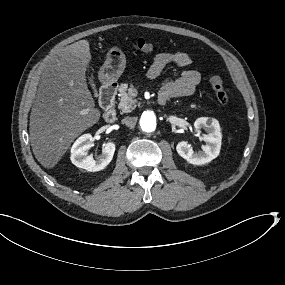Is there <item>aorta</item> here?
<instances>
[{
	"instance_id": "762f6f07",
	"label": "aorta",
	"mask_w": 285,
	"mask_h": 285,
	"mask_svg": "<svg viewBox=\"0 0 285 285\" xmlns=\"http://www.w3.org/2000/svg\"><path fill=\"white\" fill-rule=\"evenodd\" d=\"M165 114L158 107H147L136 117V128L142 134H153L160 131L165 125Z\"/></svg>"
}]
</instances>
